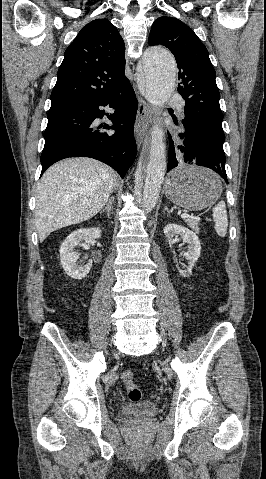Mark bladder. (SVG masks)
Here are the masks:
<instances>
[{"label": "bladder", "mask_w": 266, "mask_h": 479, "mask_svg": "<svg viewBox=\"0 0 266 479\" xmlns=\"http://www.w3.org/2000/svg\"><path fill=\"white\" fill-rule=\"evenodd\" d=\"M120 412L125 416L148 418L158 413V407L149 401L125 402L121 405Z\"/></svg>", "instance_id": "1"}]
</instances>
